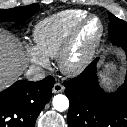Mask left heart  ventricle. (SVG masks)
Masks as SVG:
<instances>
[{
    "instance_id": "b2bd125f",
    "label": "left heart ventricle",
    "mask_w": 127,
    "mask_h": 127,
    "mask_svg": "<svg viewBox=\"0 0 127 127\" xmlns=\"http://www.w3.org/2000/svg\"><path fill=\"white\" fill-rule=\"evenodd\" d=\"M98 31H99V23L97 20H91L84 26L79 35L78 42L73 54L74 60H78L83 56L87 47L95 38Z\"/></svg>"
}]
</instances>
